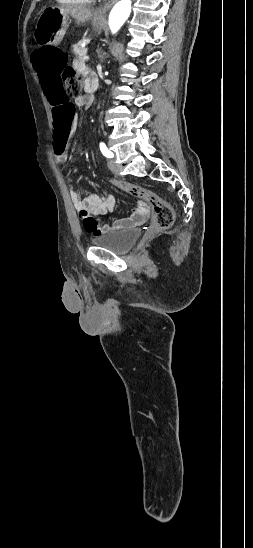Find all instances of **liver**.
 I'll list each match as a JSON object with an SVG mask.
<instances>
[{
  "label": "liver",
  "mask_w": 253,
  "mask_h": 548,
  "mask_svg": "<svg viewBox=\"0 0 253 548\" xmlns=\"http://www.w3.org/2000/svg\"><path fill=\"white\" fill-rule=\"evenodd\" d=\"M57 8L66 15H70L79 23L87 22L94 13L93 9L82 5L62 6Z\"/></svg>",
  "instance_id": "1"
}]
</instances>
